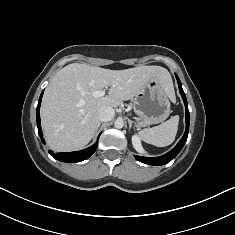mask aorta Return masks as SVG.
<instances>
[{
	"instance_id": "aorta-1",
	"label": "aorta",
	"mask_w": 235,
	"mask_h": 235,
	"mask_svg": "<svg viewBox=\"0 0 235 235\" xmlns=\"http://www.w3.org/2000/svg\"><path fill=\"white\" fill-rule=\"evenodd\" d=\"M115 128L121 129L124 126V122L122 119H117L114 123Z\"/></svg>"
}]
</instances>
